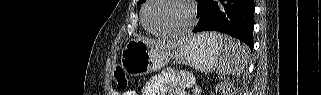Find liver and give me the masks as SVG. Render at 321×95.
Wrapping results in <instances>:
<instances>
[{"instance_id": "1", "label": "liver", "mask_w": 321, "mask_h": 95, "mask_svg": "<svg viewBox=\"0 0 321 95\" xmlns=\"http://www.w3.org/2000/svg\"><path fill=\"white\" fill-rule=\"evenodd\" d=\"M138 39L146 43L151 48H154L159 51H172L178 48L183 43L182 40H169L166 42H161L158 40H152V39L143 38V37H139Z\"/></svg>"}]
</instances>
